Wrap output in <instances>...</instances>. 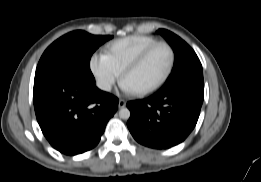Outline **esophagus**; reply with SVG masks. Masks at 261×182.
Here are the masks:
<instances>
[{
  "label": "esophagus",
  "instance_id": "esophagus-1",
  "mask_svg": "<svg viewBox=\"0 0 261 182\" xmlns=\"http://www.w3.org/2000/svg\"><path fill=\"white\" fill-rule=\"evenodd\" d=\"M126 106V101L124 99H120L118 102V107L121 109Z\"/></svg>",
  "mask_w": 261,
  "mask_h": 182
}]
</instances>
